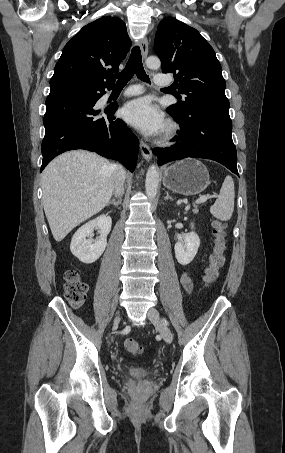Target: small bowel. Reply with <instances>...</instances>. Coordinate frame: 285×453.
Segmentation results:
<instances>
[{
	"label": "small bowel",
	"mask_w": 285,
	"mask_h": 453,
	"mask_svg": "<svg viewBox=\"0 0 285 453\" xmlns=\"http://www.w3.org/2000/svg\"><path fill=\"white\" fill-rule=\"evenodd\" d=\"M182 287L187 293H191L193 290V281L190 275V272H185L180 278Z\"/></svg>",
	"instance_id": "c3829d8e"
}]
</instances>
